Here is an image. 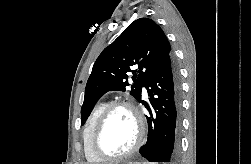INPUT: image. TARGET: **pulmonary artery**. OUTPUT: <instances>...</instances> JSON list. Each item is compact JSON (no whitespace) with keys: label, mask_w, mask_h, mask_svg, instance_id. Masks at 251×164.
Listing matches in <instances>:
<instances>
[{"label":"pulmonary artery","mask_w":251,"mask_h":164,"mask_svg":"<svg viewBox=\"0 0 251 164\" xmlns=\"http://www.w3.org/2000/svg\"><path fill=\"white\" fill-rule=\"evenodd\" d=\"M143 95L146 96L147 95V91L145 88H143Z\"/></svg>","instance_id":"pulmonary-artery-1"}]
</instances>
